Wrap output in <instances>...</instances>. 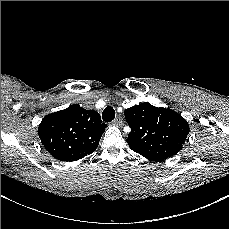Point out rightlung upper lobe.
<instances>
[{"label":"right lung upper lobe","instance_id":"right-lung-upper-lobe-1","mask_svg":"<svg viewBox=\"0 0 229 229\" xmlns=\"http://www.w3.org/2000/svg\"><path fill=\"white\" fill-rule=\"evenodd\" d=\"M106 127L98 112L74 104L46 115L38 127V134L54 158L72 162L96 150Z\"/></svg>","mask_w":229,"mask_h":229}]
</instances>
